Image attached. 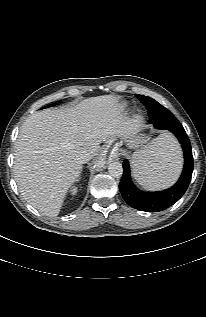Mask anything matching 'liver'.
<instances>
[{
    "mask_svg": "<svg viewBox=\"0 0 206 317\" xmlns=\"http://www.w3.org/2000/svg\"><path fill=\"white\" fill-rule=\"evenodd\" d=\"M138 128L136 121L122 113L114 95L32 114L21 126L15 144L13 168L22 197L44 215L57 216L80 175L78 154L90 151L96 155L102 142L127 139Z\"/></svg>",
    "mask_w": 206,
    "mask_h": 317,
    "instance_id": "6515ba94",
    "label": "liver"
}]
</instances>
